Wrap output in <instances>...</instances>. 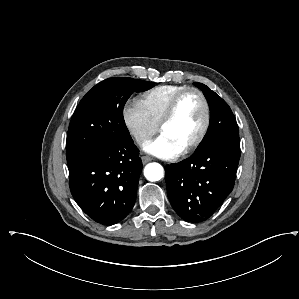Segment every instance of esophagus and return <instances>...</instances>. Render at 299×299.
Listing matches in <instances>:
<instances>
[{"label": "esophagus", "mask_w": 299, "mask_h": 299, "mask_svg": "<svg viewBox=\"0 0 299 299\" xmlns=\"http://www.w3.org/2000/svg\"><path fill=\"white\" fill-rule=\"evenodd\" d=\"M141 159H142V163H143V164H147L148 162H150V161L153 160V159H152L151 157H149V156H142Z\"/></svg>", "instance_id": "esophagus-1"}]
</instances>
